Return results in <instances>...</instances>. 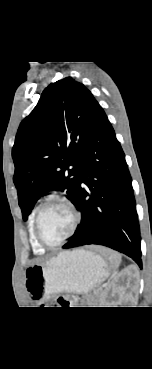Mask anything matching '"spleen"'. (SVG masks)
Segmentation results:
<instances>
[{
  "label": "spleen",
  "instance_id": "3e777b00",
  "mask_svg": "<svg viewBox=\"0 0 152 369\" xmlns=\"http://www.w3.org/2000/svg\"><path fill=\"white\" fill-rule=\"evenodd\" d=\"M103 253L108 256L110 263L114 267L119 266V264L121 262V255L120 254H118L117 252L111 251V250H105Z\"/></svg>",
  "mask_w": 152,
  "mask_h": 369
}]
</instances>
